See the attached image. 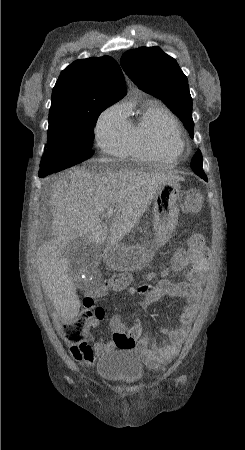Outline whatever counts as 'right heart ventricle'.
I'll use <instances>...</instances> for the list:
<instances>
[{
    "label": "right heart ventricle",
    "instance_id": "right-heart-ventricle-1",
    "mask_svg": "<svg viewBox=\"0 0 245 450\" xmlns=\"http://www.w3.org/2000/svg\"><path fill=\"white\" fill-rule=\"evenodd\" d=\"M132 109L125 108L128 121V155L136 160L173 162L178 156L164 147L159 139L161 123L173 117L167 108L155 99H150L131 119ZM174 118V117H173Z\"/></svg>",
    "mask_w": 245,
    "mask_h": 450
}]
</instances>
